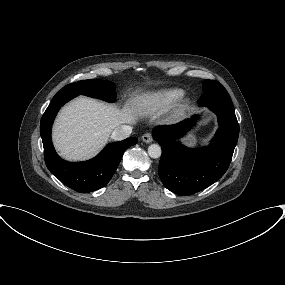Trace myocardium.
Wrapping results in <instances>:
<instances>
[{
  "label": "myocardium",
  "mask_w": 285,
  "mask_h": 285,
  "mask_svg": "<svg viewBox=\"0 0 285 285\" xmlns=\"http://www.w3.org/2000/svg\"><path fill=\"white\" fill-rule=\"evenodd\" d=\"M188 105V101L187 99H183L181 98L175 105V112L176 113H180L182 112L183 110H185V108L187 107Z\"/></svg>",
  "instance_id": "f54148a6"
}]
</instances>
